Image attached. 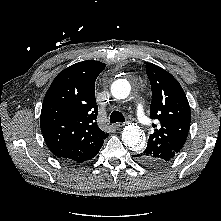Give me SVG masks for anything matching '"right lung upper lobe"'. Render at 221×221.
Instances as JSON below:
<instances>
[{
    "mask_svg": "<svg viewBox=\"0 0 221 221\" xmlns=\"http://www.w3.org/2000/svg\"><path fill=\"white\" fill-rule=\"evenodd\" d=\"M105 64L86 60L60 72L49 87L40 126L50 151L63 160L81 163L96 156L108 133L97 125L95 81Z\"/></svg>",
    "mask_w": 221,
    "mask_h": 221,
    "instance_id": "1",
    "label": "right lung upper lobe"
}]
</instances>
